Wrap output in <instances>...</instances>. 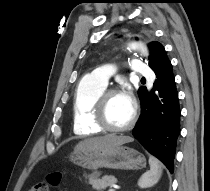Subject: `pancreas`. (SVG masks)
Wrapping results in <instances>:
<instances>
[{
    "label": "pancreas",
    "instance_id": "cf45deb5",
    "mask_svg": "<svg viewBox=\"0 0 210 191\" xmlns=\"http://www.w3.org/2000/svg\"><path fill=\"white\" fill-rule=\"evenodd\" d=\"M85 178L88 179V183L92 185V188L97 191L105 190L107 187L117 182V179L114 176L105 175L100 179L98 178L97 173L87 175Z\"/></svg>",
    "mask_w": 210,
    "mask_h": 191
}]
</instances>
